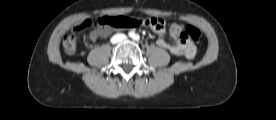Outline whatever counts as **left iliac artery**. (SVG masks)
Instances as JSON below:
<instances>
[{"instance_id": "obj_1", "label": "left iliac artery", "mask_w": 276, "mask_h": 120, "mask_svg": "<svg viewBox=\"0 0 276 120\" xmlns=\"http://www.w3.org/2000/svg\"><path fill=\"white\" fill-rule=\"evenodd\" d=\"M134 39L139 40L140 39L139 35H135Z\"/></svg>"}]
</instances>
